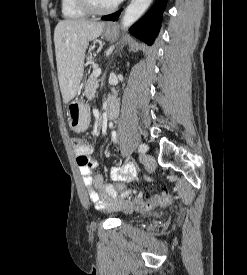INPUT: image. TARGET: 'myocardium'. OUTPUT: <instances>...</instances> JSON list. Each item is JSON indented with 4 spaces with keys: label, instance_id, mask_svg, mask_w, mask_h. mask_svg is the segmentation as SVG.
<instances>
[{
    "label": "myocardium",
    "instance_id": "f54148a6",
    "mask_svg": "<svg viewBox=\"0 0 247 275\" xmlns=\"http://www.w3.org/2000/svg\"><path fill=\"white\" fill-rule=\"evenodd\" d=\"M75 4L81 9L83 10L85 13L90 14V15H106L109 14L111 12H113L114 10H116V8L119 5V2H116L113 6L109 7V8H97L95 7L92 2L90 0H74Z\"/></svg>",
    "mask_w": 247,
    "mask_h": 275
}]
</instances>
